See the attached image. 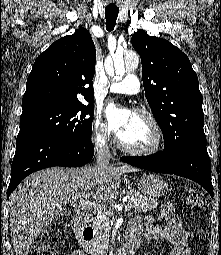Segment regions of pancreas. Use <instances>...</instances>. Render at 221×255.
<instances>
[{
  "mask_svg": "<svg viewBox=\"0 0 221 255\" xmlns=\"http://www.w3.org/2000/svg\"><path fill=\"white\" fill-rule=\"evenodd\" d=\"M129 204H131L136 211L146 213L149 210H153L157 207V202L154 199H148L140 192L135 190H129L126 193ZM113 213L110 211H103L89 221V224L93 228L96 238L85 248L88 251H96L104 245L108 244L107 236L110 230V217Z\"/></svg>",
  "mask_w": 221,
  "mask_h": 255,
  "instance_id": "cf45deb5",
  "label": "pancreas"
}]
</instances>
